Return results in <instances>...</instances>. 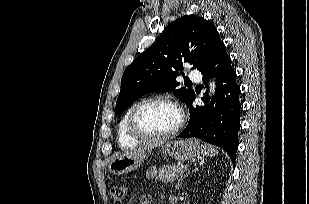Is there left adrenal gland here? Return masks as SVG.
<instances>
[{"instance_id": "a2214340", "label": "left adrenal gland", "mask_w": 309, "mask_h": 204, "mask_svg": "<svg viewBox=\"0 0 309 204\" xmlns=\"http://www.w3.org/2000/svg\"><path fill=\"white\" fill-rule=\"evenodd\" d=\"M202 164V162H201ZM197 169H192L191 171H188L186 173V175H184L183 177H181L176 185V190H179L182 184L183 179H185L186 177H188V175H191V173L196 172Z\"/></svg>"}]
</instances>
